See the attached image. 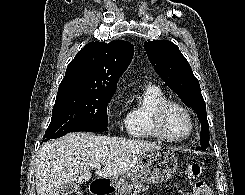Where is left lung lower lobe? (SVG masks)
<instances>
[{
  "label": "left lung lower lobe",
  "instance_id": "1",
  "mask_svg": "<svg viewBox=\"0 0 245 195\" xmlns=\"http://www.w3.org/2000/svg\"><path fill=\"white\" fill-rule=\"evenodd\" d=\"M207 147H208V146H200V147H198L197 149H199V150H206Z\"/></svg>",
  "mask_w": 245,
  "mask_h": 195
}]
</instances>
